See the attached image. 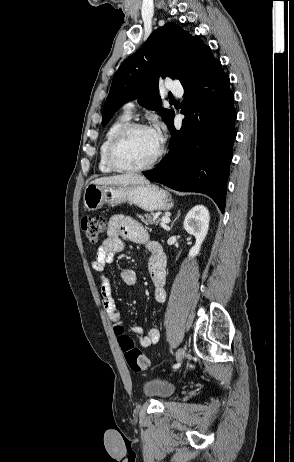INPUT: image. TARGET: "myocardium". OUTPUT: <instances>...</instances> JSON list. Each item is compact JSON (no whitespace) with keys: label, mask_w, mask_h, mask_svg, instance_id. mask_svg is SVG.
Returning a JSON list of instances; mask_svg holds the SVG:
<instances>
[{"label":"myocardium","mask_w":294,"mask_h":462,"mask_svg":"<svg viewBox=\"0 0 294 462\" xmlns=\"http://www.w3.org/2000/svg\"><path fill=\"white\" fill-rule=\"evenodd\" d=\"M152 130L150 126L141 122H128L124 126H122L112 137L110 140L107 151H106V161L108 165L114 170L118 172L124 173H140L147 171L153 168L161 159L164 153L163 146L160 145L158 152L156 155L146 164L138 167H130L122 164L117 158V151L123 140L133 131L135 130Z\"/></svg>","instance_id":"1"}]
</instances>
